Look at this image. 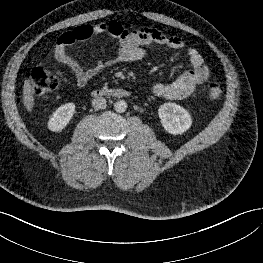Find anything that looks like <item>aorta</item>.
Masks as SVG:
<instances>
[{"mask_svg":"<svg viewBox=\"0 0 263 263\" xmlns=\"http://www.w3.org/2000/svg\"><path fill=\"white\" fill-rule=\"evenodd\" d=\"M114 109L118 113H124L127 109V103L124 100H118L114 103Z\"/></svg>","mask_w":263,"mask_h":263,"instance_id":"aorta-1","label":"aorta"}]
</instances>
